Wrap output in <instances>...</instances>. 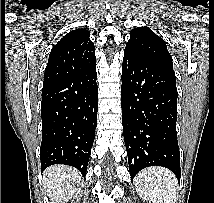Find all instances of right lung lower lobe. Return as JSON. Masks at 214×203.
I'll return each mask as SVG.
<instances>
[{"instance_id": "1", "label": "right lung lower lobe", "mask_w": 214, "mask_h": 203, "mask_svg": "<svg viewBox=\"0 0 214 203\" xmlns=\"http://www.w3.org/2000/svg\"><path fill=\"white\" fill-rule=\"evenodd\" d=\"M96 65L42 90L41 171L53 164L86 175L98 110Z\"/></svg>"}]
</instances>
